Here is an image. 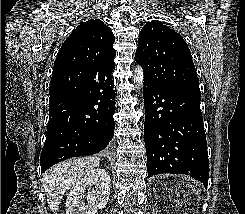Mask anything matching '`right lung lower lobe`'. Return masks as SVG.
<instances>
[{"label": "right lung lower lobe", "mask_w": 245, "mask_h": 214, "mask_svg": "<svg viewBox=\"0 0 245 214\" xmlns=\"http://www.w3.org/2000/svg\"><path fill=\"white\" fill-rule=\"evenodd\" d=\"M113 69H98L88 88L77 95L50 94L41 172L68 158L93 155L109 147L117 95Z\"/></svg>", "instance_id": "obj_1"}]
</instances>
